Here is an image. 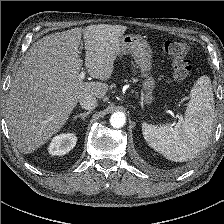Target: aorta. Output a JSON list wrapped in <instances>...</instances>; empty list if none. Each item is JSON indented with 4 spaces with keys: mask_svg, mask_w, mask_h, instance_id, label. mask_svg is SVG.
<instances>
[{
    "mask_svg": "<svg viewBox=\"0 0 224 224\" xmlns=\"http://www.w3.org/2000/svg\"><path fill=\"white\" fill-rule=\"evenodd\" d=\"M126 118L124 113L122 112H115L111 115L110 124L114 128H121L125 125Z\"/></svg>",
    "mask_w": 224,
    "mask_h": 224,
    "instance_id": "1",
    "label": "aorta"
}]
</instances>
